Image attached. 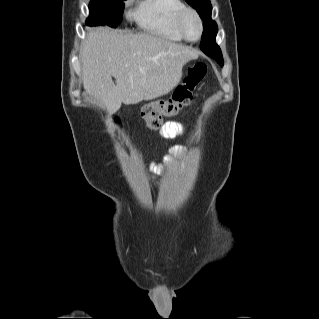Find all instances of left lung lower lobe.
<instances>
[{
    "label": "left lung lower lobe",
    "instance_id": "1",
    "mask_svg": "<svg viewBox=\"0 0 319 319\" xmlns=\"http://www.w3.org/2000/svg\"><path fill=\"white\" fill-rule=\"evenodd\" d=\"M208 42H209V43H212V42H210V40H208ZM205 46H206L207 48H201V50H202L206 55L210 56L211 58L216 57V55L212 53V49H211V47H210V44H205ZM213 59H214V58H213Z\"/></svg>",
    "mask_w": 319,
    "mask_h": 319
}]
</instances>
